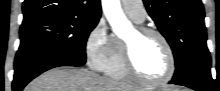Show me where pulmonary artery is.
<instances>
[{
  "label": "pulmonary artery",
  "instance_id": "pulmonary-artery-1",
  "mask_svg": "<svg viewBox=\"0 0 220 91\" xmlns=\"http://www.w3.org/2000/svg\"><path fill=\"white\" fill-rule=\"evenodd\" d=\"M122 7L124 12L130 16L135 22L141 23L146 18V10L143 2L140 0H123Z\"/></svg>",
  "mask_w": 220,
  "mask_h": 91
}]
</instances>
